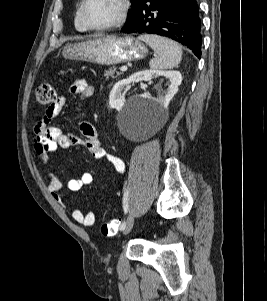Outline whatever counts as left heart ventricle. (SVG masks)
<instances>
[{"instance_id": "b2bd125f", "label": "left heart ventricle", "mask_w": 267, "mask_h": 301, "mask_svg": "<svg viewBox=\"0 0 267 301\" xmlns=\"http://www.w3.org/2000/svg\"><path fill=\"white\" fill-rule=\"evenodd\" d=\"M120 12V0H88L86 18L92 25L100 26L114 21Z\"/></svg>"}]
</instances>
